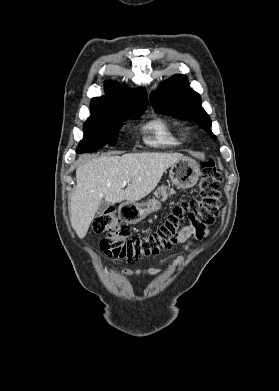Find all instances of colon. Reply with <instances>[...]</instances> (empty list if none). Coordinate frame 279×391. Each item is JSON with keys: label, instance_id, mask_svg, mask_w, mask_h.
<instances>
[{"label": "colon", "instance_id": "5ec220e1", "mask_svg": "<svg viewBox=\"0 0 279 391\" xmlns=\"http://www.w3.org/2000/svg\"><path fill=\"white\" fill-rule=\"evenodd\" d=\"M198 191L197 198L174 206L155 232L143 235H132L130 228L121 223L114 208L106 209L93 222L95 232L107 233L100 242L101 249L107 256L122 262L140 260L172 248L187 223L194 228L197 239L205 238L208 226L219 216L221 205V177L212 161L202 163Z\"/></svg>", "mask_w": 279, "mask_h": 391}]
</instances>
